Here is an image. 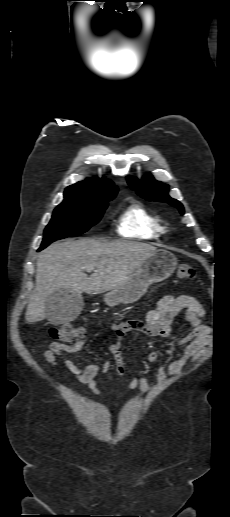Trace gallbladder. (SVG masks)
<instances>
[{"label":"gallbladder","mask_w":230,"mask_h":517,"mask_svg":"<svg viewBox=\"0 0 230 517\" xmlns=\"http://www.w3.org/2000/svg\"><path fill=\"white\" fill-rule=\"evenodd\" d=\"M83 305L82 296L75 291L70 289L57 290L46 300L47 318L54 324L72 321L81 313Z\"/></svg>","instance_id":"1"}]
</instances>
